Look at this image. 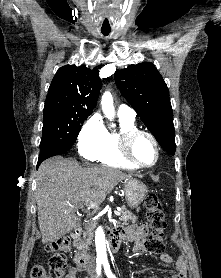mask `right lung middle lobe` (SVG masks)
Wrapping results in <instances>:
<instances>
[{"mask_svg":"<svg viewBox=\"0 0 221 278\" xmlns=\"http://www.w3.org/2000/svg\"><path fill=\"white\" fill-rule=\"evenodd\" d=\"M87 117L88 115L72 117L62 113H44L40 156L71 147Z\"/></svg>","mask_w":221,"mask_h":278,"instance_id":"right-lung-middle-lobe-1","label":"right lung middle lobe"}]
</instances>
